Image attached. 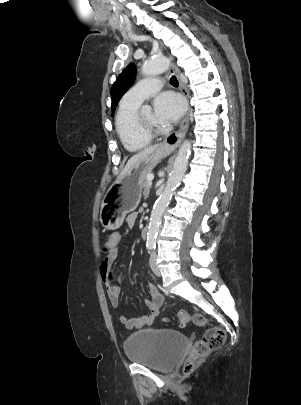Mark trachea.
Here are the masks:
<instances>
[{
	"label": "trachea",
	"mask_w": 301,
	"mask_h": 405,
	"mask_svg": "<svg viewBox=\"0 0 301 405\" xmlns=\"http://www.w3.org/2000/svg\"><path fill=\"white\" fill-rule=\"evenodd\" d=\"M170 83L174 87H177L179 85L178 80H177V78L175 76H172Z\"/></svg>",
	"instance_id": "trachea-1"
}]
</instances>
